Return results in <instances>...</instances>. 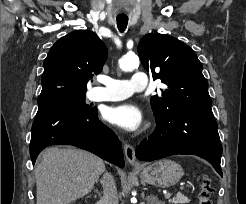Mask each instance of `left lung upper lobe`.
Segmentation results:
<instances>
[{
	"label": "left lung upper lobe",
	"instance_id": "obj_1",
	"mask_svg": "<svg viewBox=\"0 0 246 204\" xmlns=\"http://www.w3.org/2000/svg\"><path fill=\"white\" fill-rule=\"evenodd\" d=\"M138 54L153 79L168 86L162 96L151 97L156 121L176 109L211 107L208 83L195 52L178 39L163 34H147L138 44Z\"/></svg>",
	"mask_w": 246,
	"mask_h": 204
}]
</instances>
